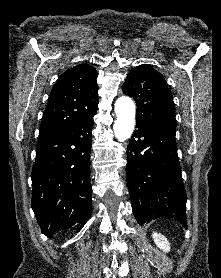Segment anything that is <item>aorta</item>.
<instances>
[{
    "label": "aorta",
    "mask_w": 221,
    "mask_h": 278,
    "mask_svg": "<svg viewBox=\"0 0 221 278\" xmlns=\"http://www.w3.org/2000/svg\"><path fill=\"white\" fill-rule=\"evenodd\" d=\"M115 113L117 119L113 129L118 141L123 142L130 138L135 126V105L126 96L120 97L115 103Z\"/></svg>",
    "instance_id": "aorta-1"
}]
</instances>
